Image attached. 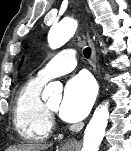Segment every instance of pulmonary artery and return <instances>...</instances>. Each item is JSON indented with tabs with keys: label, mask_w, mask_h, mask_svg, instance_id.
I'll return each mask as SVG.
<instances>
[{
	"label": "pulmonary artery",
	"mask_w": 131,
	"mask_h": 151,
	"mask_svg": "<svg viewBox=\"0 0 131 151\" xmlns=\"http://www.w3.org/2000/svg\"><path fill=\"white\" fill-rule=\"evenodd\" d=\"M75 52L65 49L56 54L37 74L43 81L69 73L76 67Z\"/></svg>",
	"instance_id": "obj_1"
}]
</instances>
